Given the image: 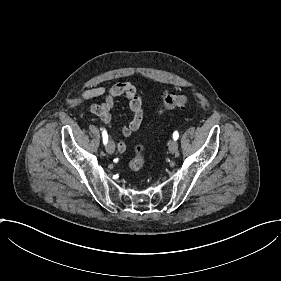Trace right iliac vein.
<instances>
[{
  "mask_svg": "<svg viewBox=\"0 0 281 281\" xmlns=\"http://www.w3.org/2000/svg\"><path fill=\"white\" fill-rule=\"evenodd\" d=\"M106 152L109 155H113L116 152V146L114 141L109 140V143L106 145Z\"/></svg>",
  "mask_w": 281,
  "mask_h": 281,
  "instance_id": "1",
  "label": "right iliac vein"
}]
</instances>
